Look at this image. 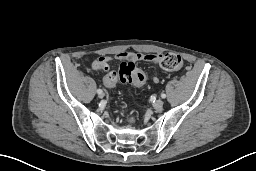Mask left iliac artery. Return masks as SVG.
Wrapping results in <instances>:
<instances>
[{"label": "left iliac artery", "instance_id": "left-iliac-artery-1", "mask_svg": "<svg viewBox=\"0 0 256 171\" xmlns=\"http://www.w3.org/2000/svg\"><path fill=\"white\" fill-rule=\"evenodd\" d=\"M161 97H162V98H166V94L162 93V94H161Z\"/></svg>", "mask_w": 256, "mask_h": 171}]
</instances>
